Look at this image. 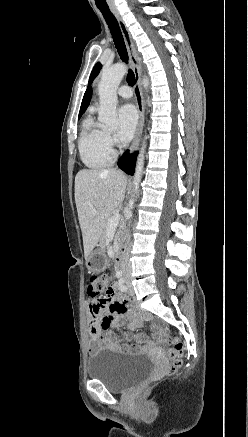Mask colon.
<instances>
[{
  "instance_id": "1",
  "label": "colon",
  "mask_w": 248,
  "mask_h": 437,
  "mask_svg": "<svg viewBox=\"0 0 248 437\" xmlns=\"http://www.w3.org/2000/svg\"><path fill=\"white\" fill-rule=\"evenodd\" d=\"M109 276L106 273L92 274L88 278V294H102L103 291L109 289ZM184 351L183 343L174 338L172 340V347L168 351L170 359L169 365L166 368V374L171 375L176 373L182 365L181 356Z\"/></svg>"
}]
</instances>
